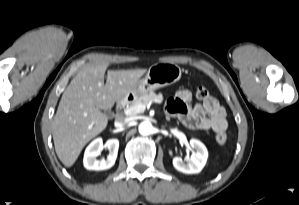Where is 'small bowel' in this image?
Masks as SVG:
<instances>
[{
	"label": "small bowel",
	"mask_w": 299,
	"mask_h": 205,
	"mask_svg": "<svg viewBox=\"0 0 299 205\" xmlns=\"http://www.w3.org/2000/svg\"><path fill=\"white\" fill-rule=\"evenodd\" d=\"M200 100L202 103H196L193 93L188 89H182L168 100L166 111L176 116L189 129L226 132V112L219 101L210 95Z\"/></svg>",
	"instance_id": "obj_1"
}]
</instances>
